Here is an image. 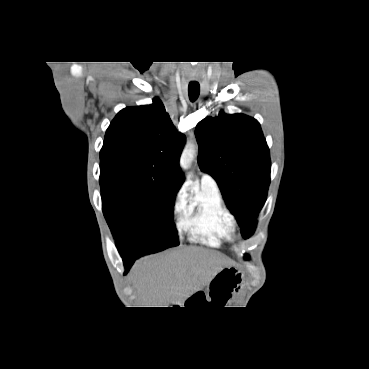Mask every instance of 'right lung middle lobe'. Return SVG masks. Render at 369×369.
I'll return each mask as SVG.
<instances>
[{
    "label": "right lung middle lobe",
    "instance_id": "dd1d6c3e",
    "mask_svg": "<svg viewBox=\"0 0 369 369\" xmlns=\"http://www.w3.org/2000/svg\"><path fill=\"white\" fill-rule=\"evenodd\" d=\"M105 219L122 258H139L179 245L173 223L176 191L137 175L100 172Z\"/></svg>",
    "mask_w": 369,
    "mask_h": 369
}]
</instances>
